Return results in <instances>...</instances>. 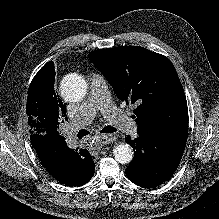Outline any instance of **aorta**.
I'll use <instances>...</instances> for the list:
<instances>
[{"label":"aorta","instance_id":"1","mask_svg":"<svg viewBox=\"0 0 219 219\" xmlns=\"http://www.w3.org/2000/svg\"><path fill=\"white\" fill-rule=\"evenodd\" d=\"M61 95L68 102H77L84 98L87 91L86 81L79 75H70L62 80ZM114 158L121 164L130 163L133 159V149L126 143H120L113 149Z\"/></svg>","mask_w":219,"mask_h":219}]
</instances>
